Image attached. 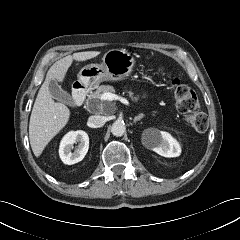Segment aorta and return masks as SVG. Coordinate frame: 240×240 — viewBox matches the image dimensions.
Here are the masks:
<instances>
[{
  "mask_svg": "<svg viewBox=\"0 0 240 240\" xmlns=\"http://www.w3.org/2000/svg\"><path fill=\"white\" fill-rule=\"evenodd\" d=\"M126 131V126L122 121H115L111 126V132L116 137H121Z\"/></svg>",
  "mask_w": 240,
  "mask_h": 240,
  "instance_id": "aorta-1",
  "label": "aorta"
}]
</instances>
